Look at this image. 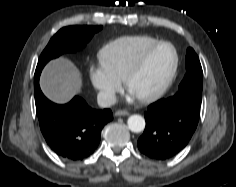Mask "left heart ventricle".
<instances>
[{
	"mask_svg": "<svg viewBox=\"0 0 236 187\" xmlns=\"http://www.w3.org/2000/svg\"><path fill=\"white\" fill-rule=\"evenodd\" d=\"M173 62L174 53L169 46L157 48L149 56L139 74L132 80L130 93L138 97L156 91L166 80Z\"/></svg>",
	"mask_w": 236,
	"mask_h": 187,
	"instance_id": "b2bd125f",
	"label": "left heart ventricle"
}]
</instances>
